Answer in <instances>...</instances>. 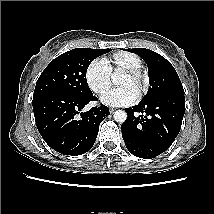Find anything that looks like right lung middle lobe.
<instances>
[{"label":"right lung middle lobe","mask_w":214,"mask_h":214,"mask_svg":"<svg viewBox=\"0 0 214 214\" xmlns=\"http://www.w3.org/2000/svg\"><path fill=\"white\" fill-rule=\"evenodd\" d=\"M110 50L75 48L61 54L52 60L40 75L33 98L51 93L92 95L86 80L87 68L95 58Z\"/></svg>","instance_id":"right-lung-middle-lobe-1"}]
</instances>
